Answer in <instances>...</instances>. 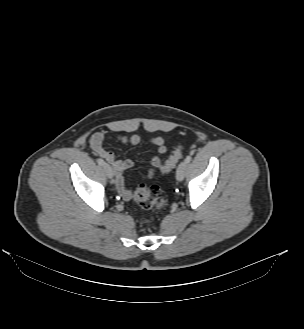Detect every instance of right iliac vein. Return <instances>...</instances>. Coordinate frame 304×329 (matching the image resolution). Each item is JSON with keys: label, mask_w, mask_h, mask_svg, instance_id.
Wrapping results in <instances>:
<instances>
[{"label": "right iliac vein", "mask_w": 304, "mask_h": 329, "mask_svg": "<svg viewBox=\"0 0 304 329\" xmlns=\"http://www.w3.org/2000/svg\"><path fill=\"white\" fill-rule=\"evenodd\" d=\"M103 168H104V171H105L106 175L108 176V178H112L113 177L112 168L106 163H104Z\"/></svg>", "instance_id": "right-iliac-vein-1"}]
</instances>
